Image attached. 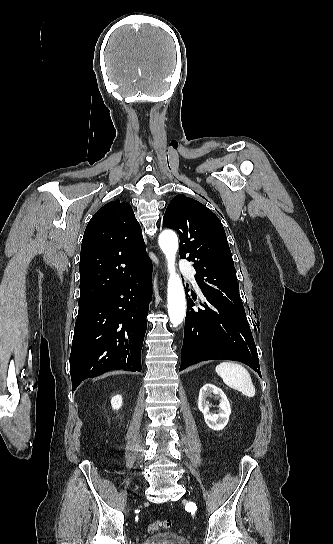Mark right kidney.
Listing matches in <instances>:
<instances>
[{
  "instance_id": "obj_1",
  "label": "right kidney",
  "mask_w": 333,
  "mask_h": 544,
  "mask_svg": "<svg viewBox=\"0 0 333 544\" xmlns=\"http://www.w3.org/2000/svg\"><path fill=\"white\" fill-rule=\"evenodd\" d=\"M111 405L114 410L120 409L122 406V396L118 394L112 397Z\"/></svg>"
}]
</instances>
